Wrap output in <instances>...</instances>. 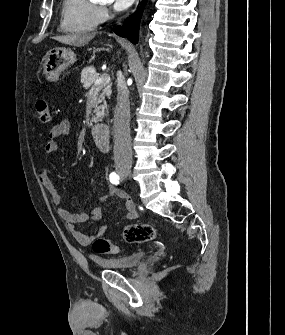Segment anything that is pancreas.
I'll return each mask as SVG.
<instances>
[{
    "instance_id": "1",
    "label": "pancreas",
    "mask_w": 285,
    "mask_h": 335,
    "mask_svg": "<svg viewBox=\"0 0 285 335\" xmlns=\"http://www.w3.org/2000/svg\"><path fill=\"white\" fill-rule=\"evenodd\" d=\"M86 70L88 71H82L81 73V88L82 90H94L96 88V85L93 82L97 81L98 79L95 68H93V66H89V68H86ZM103 88L104 90H102L100 96H98V104L104 102L105 96H111V88H109V86H103ZM105 108H107L106 104H104V106H94V112L91 113L92 123L94 125L102 122L103 117L101 114H104Z\"/></svg>"
}]
</instances>
